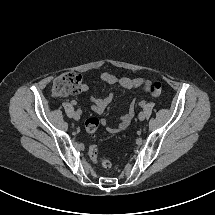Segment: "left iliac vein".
Returning a JSON list of instances; mask_svg holds the SVG:
<instances>
[{
  "instance_id": "4c4485c4",
  "label": "left iliac vein",
  "mask_w": 215,
  "mask_h": 215,
  "mask_svg": "<svg viewBox=\"0 0 215 215\" xmlns=\"http://www.w3.org/2000/svg\"><path fill=\"white\" fill-rule=\"evenodd\" d=\"M138 118H139V120H144L145 114L143 112L139 113Z\"/></svg>"
}]
</instances>
